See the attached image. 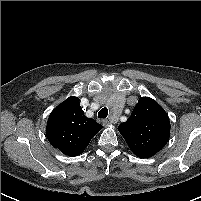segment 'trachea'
Instances as JSON below:
<instances>
[{"mask_svg":"<svg viewBox=\"0 0 201 201\" xmlns=\"http://www.w3.org/2000/svg\"><path fill=\"white\" fill-rule=\"evenodd\" d=\"M108 116V109L106 107L102 108L98 113V118L104 119Z\"/></svg>","mask_w":201,"mask_h":201,"instance_id":"1","label":"trachea"}]
</instances>
